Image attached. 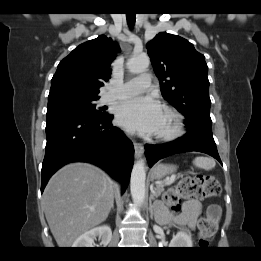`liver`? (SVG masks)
I'll list each match as a JSON object with an SVG mask.
<instances>
[{
	"mask_svg": "<svg viewBox=\"0 0 261 261\" xmlns=\"http://www.w3.org/2000/svg\"><path fill=\"white\" fill-rule=\"evenodd\" d=\"M115 183L101 169L71 163L52 176L43 194L50 230L60 248L106 220L114 203Z\"/></svg>",
	"mask_w": 261,
	"mask_h": 261,
	"instance_id": "obj_1",
	"label": "liver"
}]
</instances>
